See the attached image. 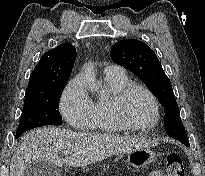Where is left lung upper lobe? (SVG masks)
Here are the masks:
<instances>
[{"label":"left lung upper lobe","instance_id":"left-lung-upper-lobe-1","mask_svg":"<svg viewBox=\"0 0 205 176\" xmlns=\"http://www.w3.org/2000/svg\"><path fill=\"white\" fill-rule=\"evenodd\" d=\"M111 58L137 75L164 105L165 128L169 136L189 146L172 85L155 52L144 42L124 39L113 45Z\"/></svg>","mask_w":205,"mask_h":176}]
</instances>
